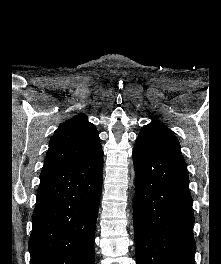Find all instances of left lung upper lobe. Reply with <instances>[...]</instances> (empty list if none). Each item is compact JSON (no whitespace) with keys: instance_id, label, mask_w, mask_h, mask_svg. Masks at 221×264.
Masks as SVG:
<instances>
[{"instance_id":"5c2ea615","label":"left lung upper lobe","mask_w":221,"mask_h":264,"mask_svg":"<svg viewBox=\"0 0 221 264\" xmlns=\"http://www.w3.org/2000/svg\"><path fill=\"white\" fill-rule=\"evenodd\" d=\"M136 142L155 150L159 154L185 162L175 135L156 120L141 129Z\"/></svg>"}]
</instances>
